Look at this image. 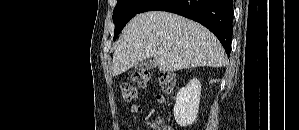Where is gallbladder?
<instances>
[{"mask_svg":"<svg viewBox=\"0 0 299 130\" xmlns=\"http://www.w3.org/2000/svg\"><path fill=\"white\" fill-rule=\"evenodd\" d=\"M156 67V64L153 60L151 59H145L141 62H138L135 66L134 69L138 71H147L150 69H153Z\"/></svg>","mask_w":299,"mask_h":130,"instance_id":"obj_1","label":"gallbladder"}]
</instances>
